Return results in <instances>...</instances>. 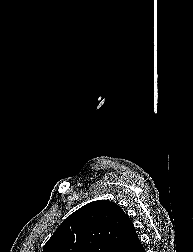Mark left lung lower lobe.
Segmentation results:
<instances>
[{
	"label": "left lung lower lobe",
	"mask_w": 193,
	"mask_h": 252,
	"mask_svg": "<svg viewBox=\"0 0 193 252\" xmlns=\"http://www.w3.org/2000/svg\"><path fill=\"white\" fill-rule=\"evenodd\" d=\"M122 252H145V249L141 244L136 232L131 237L130 241L127 243Z\"/></svg>",
	"instance_id": "obj_1"
}]
</instances>
